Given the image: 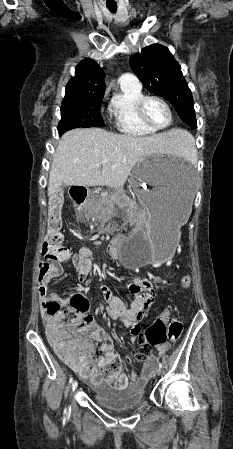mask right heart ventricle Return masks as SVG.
I'll use <instances>...</instances> for the list:
<instances>
[{"label": "right heart ventricle", "mask_w": 233, "mask_h": 449, "mask_svg": "<svg viewBox=\"0 0 233 449\" xmlns=\"http://www.w3.org/2000/svg\"><path fill=\"white\" fill-rule=\"evenodd\" d=\"M143 96L142 87L120 83V91L110 101L108 112L121 133L131 137H148L155 133L145 127L137 116L136 107Z\"/></svg>", "instance_id": "1"}]
</instances>
